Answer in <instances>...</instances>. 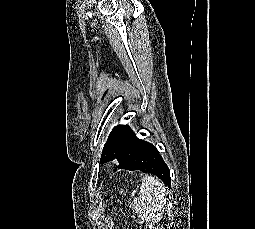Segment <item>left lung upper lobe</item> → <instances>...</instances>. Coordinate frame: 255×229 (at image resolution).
I'll use <instances>...</instances> for the list:
<instances>
[{
  "label": "left lung upper lobe",
  "mask_w": 255,
  "mask_h": 229,
  "mask_svg": "<svg viewBox=\"0 0 255 229\" xmlns=\"http://www.w3.org/2000/svg\"><path fill=\"white\" fill-rule=\"evenodd\" d=\"M128 143V137L118 131L112 130L104 145L100 162L106 163L119 157L124 152Z\"/></svg>",
  "instance_id": "1"
}]
</instances>
